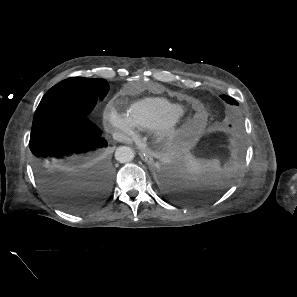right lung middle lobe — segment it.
Here are the masks:
<instances>
[{"instance_id":"right-lung-middle-lobe-1","label":"right lung middle lobe","mask_w":297,"mask_h":297,"mask_svg":"<svg viewBox=\"0 0 297 297\" xmlns=\"http://www.w3.org/2000/svg\"><path fill=\"white\" fill-rule=\"evenodd\" d=\"M109 86L106 80L97 78L73 77L53 86L39 103L32 127L67 114L88 116L97 97L104 99Z\"/></svg>"}]
</instances>
